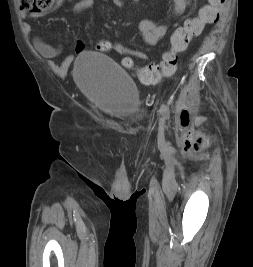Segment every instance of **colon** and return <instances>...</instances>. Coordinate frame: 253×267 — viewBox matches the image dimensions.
<instances>
[{"label":"colon","instance_id":"5ec220e1","mask_svg":"<svg viewBox=\"0 0 253 267\" xmlns=\"http://www.w3.org/2000/svg\"><path fill=\"white\" fill-rule=\"evenodd\" d=\"M207 4L202 6L193 18L187 19L173 34L171 39L172 48L167 52L160 65H147L138 70V77L143 83H156L163 77L174 74L178 64V55L187 49L189 43L196 36H199L206 25L218 21L221 9L225 0H207ZM54 0H18L19 8L26 12H42L49 9ZM96 49L100 52L114 51L123 55L122 65L127 69L135 67L132 57L145 58L141 52L132 50L120 43L101 39L96 43Z\"/></svg>","mask_w":253,"mask_h":267}]
</instances>
